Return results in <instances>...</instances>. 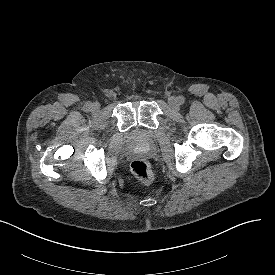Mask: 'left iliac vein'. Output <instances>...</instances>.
Segmentation results:
<instances>
[{
  "label": "left iliac vein",
  "instance_id": "obj_1",
  "mask_svg": "<svg viewBox=\"0 0 275 275\" xmlns=\"http://www.w3.org/2000/svg\"><path fill=\"white\" fill-rule=\"evenodd\" d=\"M168 103L175 110H177L180 106L178 99L173 96L168 98Z\"/></svg>",
  "mask_w": 275,
  "mask_h": 275
}]
</instances>
